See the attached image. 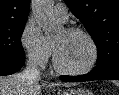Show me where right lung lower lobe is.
<instances>
[{"label":"right lung lower lobe","mask_w":119,"mask_h":95,"mask_svg":"<svg viewBox=\"0 0 119 95\" xmlns=\"http://www.w3.org/2000/svg\"><path fill=\"white\" fill-rule=\"evenodd\" d=\"M24 58H0V75H11L24 65Z\"/></svg>","instance_id":"1"}]
</instances>
